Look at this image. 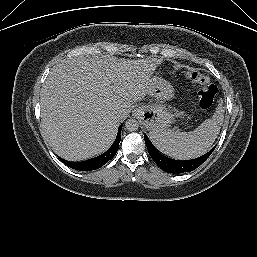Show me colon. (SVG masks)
Instances as JSON below:
<instances>
[{"mask_svg": "<svg viewBox=\"0 0 257 257\" xmlns=\"http://www.w3.org/2000/svg\"><path fill=\"white\" fill-rule=\"evenodd\" d=\"M186 77L193 83L198 84V103L200 108L206 110L211 108L217 94V87L210 82L209 78L200 71H190Z\"/></svg>", "mask_w": 257, "mask_h": 257, "instance_id": "5ec220e1", "label": "colon"}]
</instances>
